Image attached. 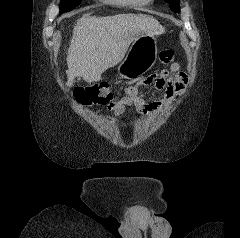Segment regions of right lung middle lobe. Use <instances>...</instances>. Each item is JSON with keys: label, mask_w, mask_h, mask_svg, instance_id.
Wrapping results in <instances>:
<instances>
[{"label": "right lung middle lobe", "mask_w": 240, "mask_h": 238, "mask_svg": "<svg viewBox=\"0 0 240 238\" xmlns=\"http://www.w3.org/2000/svg\"><path fill=\"white\" fill-rule=\"evenodd\" d=\"M80 2L81 0H61L60 13L77 7Z\"/></svg>", "instance_id": "obj_1"}]
</instances>
